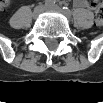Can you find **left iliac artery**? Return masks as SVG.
<instances>
[{
  "label": "left iliac artery",
  "mask_w": 103,
  "mask_h": 103,
  "mask_svg": "<svg viewBox=\"0 0 103 103\" xmlns=\"http://www.w3.org/2000/svg\"><path fill=\"white\" fill-rule=\"evenodd\" d=\"M63 11L67 16H71L72 12L70 11V9L67 6H63Z\"/></svg>",
  "instance_id": "1"
}]
</instances>
